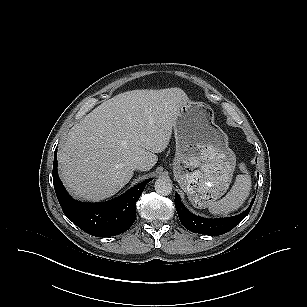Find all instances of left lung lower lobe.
Segmentation results:
<instances>
[{
  "label": "left lung lower lobe",
  "instance_id": "left-lung-lower-lobe-1",
  "mask_svg": "<svg viewBox=\"0 0 307 307\" xmlns=\"http://www.w3.org/2000/svg\"><path fill=\"white\" fill-rule=\"evenodd\" d=\"M254 200L255 198H253L250 206L243 213L233 217L218 219H208L193 215L184 207L177 193L175 194V207L179 219L186 229L194 233L217 236L229 232L238 225L249 214Z\"/></svg>",
  "mask_w": 307,
  "mask_h": 307
}]
</instances>
